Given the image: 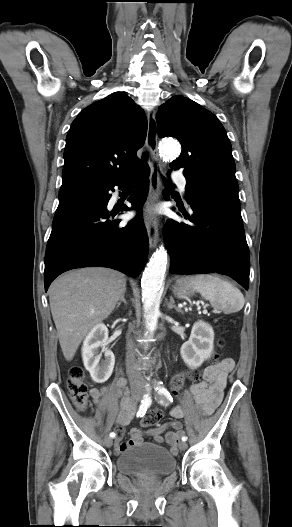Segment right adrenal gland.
Segmentation results:
<instances>
[{
    "label": "right adrenal gland",
    "instance_id": "2a0ac1e0",
    "mask_svg": "<svg viewBox=\"0 0 292 527\" xmlns=\"http://www.w3.org/2000/svg\"><path fill=\"white\" fill-rule=\"evenodd\" d=\"M124 303L125 305L127 304L126 300H125V292L122 294V296L120 297L119 301L117 302V306H116V309H118L121 305V303Z\"/></svg>",
    "mask_w": 292,
    "mask_h": 527
}]
</instances>
